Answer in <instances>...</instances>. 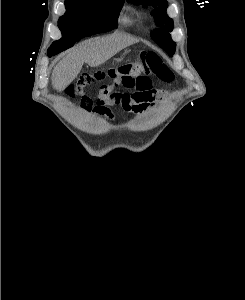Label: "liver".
<instances>
[{"mask_svg":"<svg viewBox=\"0 0 245 300\" xmlns=\"http://www.w3.org/2000/svg\"><path fill=\"white\" fill-rule=\"evenodd\" d=\"M136 42L135 38L118 33L84 42L55 66L52 72L53 87L57 91H63L78 76L84 63L91 67L99 66Z\"/></svg>","mask_w":245,"mask_h":300,"instance_id":"liver-1","label":"liver"}]
</instances>
